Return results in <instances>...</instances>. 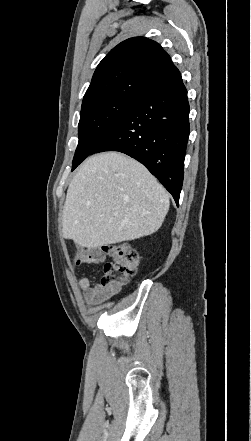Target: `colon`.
<instances>
[{
    "label": "colon",
    "instance_id": "1",
    "mask_svg": "<svg viewBox=\"0 0 251 441\" xmlns=\"http://www.w3.org/2000/svg\"><path fill=\"white\" fill-rule=\"evenodd\" d=\"M102 250L108 253L112 260L104 265L101 284L120 288L136 274L139 254L125 242L103 246Z\"/></svg>",
    "mask_w": 251,
    "mask_h": 441
}]
</instances>
